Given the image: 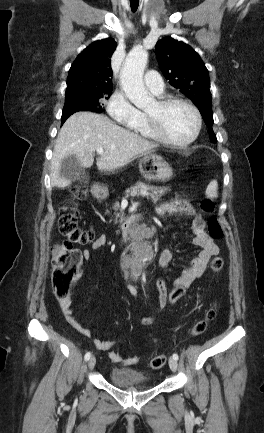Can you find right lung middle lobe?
I'll return each instance as SVG.
<instances>
[{"instance_id": "obj_1", "label": "right lung middle lobe", "mask_w": 264, "mask_h": 433, "mask_svg": "<svg viewBox=\"0 0 264 433\" xmlns=\"http://www.w3.org/2000/svg\"><path fill=\"white\" fill-rule=\"evenodd\" d=\"M111 90L112 89L66 97V102L64 105L62 118H61L62 124L66 121V119L71 114L77 111L86 110V111L102 113L103 103L101 99L105 95H108V97H105L106 99H108L109 96L111 95Z\"/></svg>"}]
</instances>
